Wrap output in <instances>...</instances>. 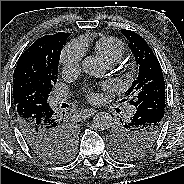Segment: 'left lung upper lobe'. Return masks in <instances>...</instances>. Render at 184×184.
I'll list each match as a JSON object with an SVG mask.
<instances>
[{
    "mask_svg": "<svg viewBox=\"0 0 184 184\" xmlns=\"http://www.w3.org/2000/svg\"><path fill=\"white\" fill-rule=\"evenodd\" d=\"M121 32L129 40V48L139 65L138 77L127 91V96L131 97L130 104L137 107L155 95H165L160 63L147 42L133 31L122 29ZM161 127L162 122L135 127L130 121L120 119L109 134L113 152L123 160L140 157L152 147Z\"/></svg>",
    "mask_w": 184,
    "mask_h": 184,
    "instance_id": "5c2ea615",
    "label": "left lung upper lobe"
}]
</instances>
